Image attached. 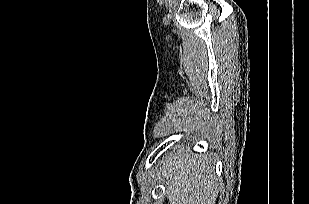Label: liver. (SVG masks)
Here are the masks:
<instances>
[{"label":"liver","mask_w":309,"mask_h":204,"mask_svg":"<svg viewBox=\"0 0 309 204\" xmlns=\"http://www.w3.org/2000/svg\"><path fill=\"white\" fill-rule=\"evenodd\" d=\"M161 163L159 175L164 177L170 204H215L218 183L212 158L179 149Z\"/></svg>","instance_id":"liver-1"}]
</instances>
